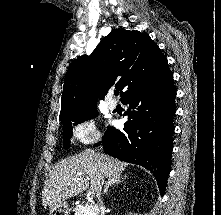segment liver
<instances>
[{"mask_svg":"<svg viewBox=\"0 0 221 215\" xmlns=\"http://www.w3.org/2000/svg\"><path fill=\"white\" fill-rule=\"evenodd\" d=\"M127 163L93 150H85L56 164L47 176L42 191L44 206L64 202L77 196L89 186L95 192L100 177L121 175Z\"/></svg>","mask_w":221,"mask_h":215,"instance_id":"obj_1","label":"liver"}]
</instances>
